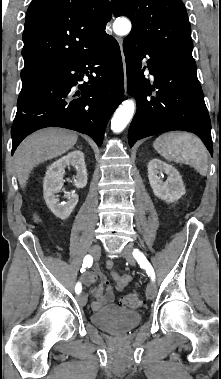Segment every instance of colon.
Masks as SVG:
<instances>
[{
	"label": "colon",
	"instance_id": "5ec220e1",
	"mask_svg": "<svg viewBox=\"0 0 221 379\" xmlns=\"http://www.w3.org/2000/svg\"><path fill=\"white\" fill-rule=\"evenodd\" d=\"M143 303L142 299L136 294H127L121 300V305L136 308L141 306Z\"/></svg>",
	"mask_w": 221,
	"mask_h": 379
}]
</instances>
